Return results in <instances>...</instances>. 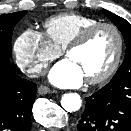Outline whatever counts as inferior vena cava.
Listing matches in <instances>:
<instances>
[{
    "label": "inferior vena cava",
    "instance_id": "602c4592",
    "mask_svg": "<svg viewBox=\"0 0 131 131\" xmlns=\"http://www.w3.org/2000/svg\"><path fill=\"white\" fill-rule=\"evenodd\" d=\"M41 72H42V69L39 66H35V67L28 68L27 70H25V73L29 77H36V74H39Z\"/></svg>",
    "mask_w": 131,
    "mask_h": 131
}]
</instances>
